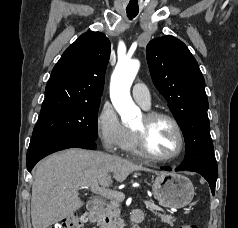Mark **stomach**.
Returning <instances> with one entry per match:
<instances>
[{
  "instance_id": "stomach-1",
  "label": "stomach",
  "mask_w": 238,
  "mask_h": 228,
  "mask_svg": "<svg viewBox=\"0 0 238 228\" xmlns=\"http://www.w3.org/2000/svg\"><path fill=\"white\" fill-rule=\"evenodd\" d=\"M152 190L159 204L166 208H183L194 197L192 182L173 172H159L153 181Z\"/></svg>"
}]
</instances>
